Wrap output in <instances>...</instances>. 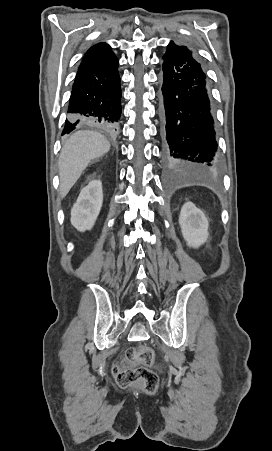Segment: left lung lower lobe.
<instances>
[{"instance_id":"1","label":"left lung lower lobe","mask_w":272,"mask_h":451,"mask_svg":"<svg viewBox=\"0 0 272 451\" xmlns=\"http://www.w3.org/2000/svg\"><path fill=\"white\" fill-rule=\"evenodd\" d=\"M162 95L160 137L165 163L192 170L218 169L207 77L193 52L173 41L163 55Z\"/></svg>"}]
</instances>
